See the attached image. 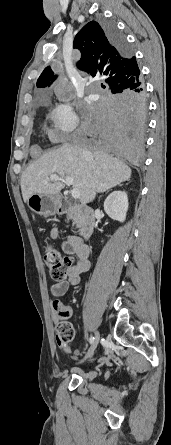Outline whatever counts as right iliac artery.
<instances>
[{
	"mask_svg": "<svg viewBox=\"0 0 171 445\" xmlns=\"http://www.w3.org/2000/svg\"><path fill=\"white\" fill-rule=\"evenodd\" d=\"M93 341H94V337L91 336V337L89 338V342H90V344H92Z\"/></svg>",
	"mask_w": 171,
	"mask_h": 445,
	"instance_id": "right-iliac-artery-1",
	"label": "right iliac artery"
}]
</instances>
